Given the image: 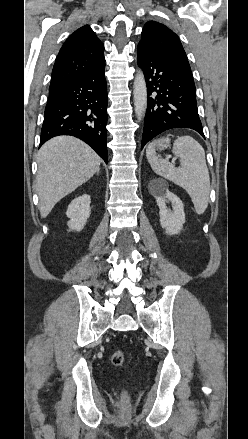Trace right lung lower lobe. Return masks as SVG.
Masks as SVG:
<instances>
[{"label":"right lung lower lobe","mask_w":248,"mask_h":439,"mask_svg":"<svg viewBox=\"0 0 248 439\" xmlns=\"http://www.w3.org/2000/svg\"><path fill=\"white\" fill-rule=\"evenodd\" d=\"M105 63L49 91L40 146L58 135L85 141L107 160V86Z\"/></svg>","instance_id":"1"}]
</instances>
